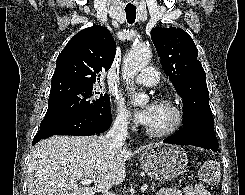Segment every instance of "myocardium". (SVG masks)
Masks as SVG:
<instances>
[{
    "label": "myocardium",
    "mask_w": 245,
    "mask_h": 195,
    "mask_svg": "<svg viewBox=\"0 0 245 195\" xmlns=\"http://www.w3.org/2000/svg\"><path fill=\"white\" fill-rule=\"evenodd\" d=\"M158 104L169 107L174 112V120L171 125L163 130H151L145 127L147 135L153 138H164L177 132L183 125L185 116L179 103L170 98H160Z\"/></svg>",
    "instance_id": "myocardium-1"
}]
</instances>
